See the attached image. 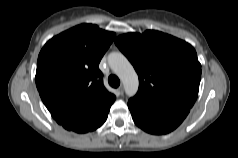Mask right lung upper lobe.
I'll use <instances>...</instances> for the list:
<instances>
[{
    "mask_svg": "<svg viewBox=\"0 0 238 158\" xmlns=\"http://www.w3.org/2000/svg\"><path fill=\"white\" fill-rule=\"evenodd\" d=\"M115 33L93 24L75 26L50 39L37 61L36 86L50 112L111 105L99 62Z\"/></svg>",
    "mask_w": 238,
    "mask_h": 158,
    "instance_id": "obj_1",
    "label": "right lung upper lobe"
}]
</instances>
